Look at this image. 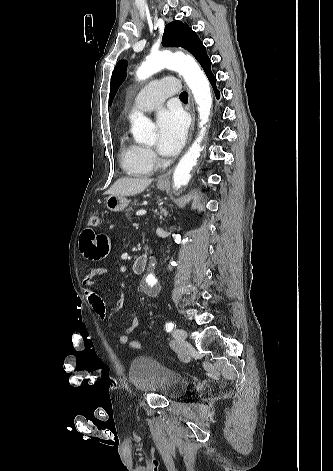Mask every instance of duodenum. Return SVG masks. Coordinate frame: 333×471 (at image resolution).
I'll return each mask as SVG.
<instances>
[{
	"instance_id": "1",
	"label": "duodenum",
	"mask_w": 333,
	"mask_h": 471,
	"mask_svg": "<svg viewBox=\"0 0 333 471\" xmlns=\"http://www.w3.org/2000/svg\"><path fill=\"white\" fill-rule=\"evenodd\" d=\"M147 263L148 256L147 254H143L133 261L131 269L136 274L142 273L146 269Z\"/></svg>"
}]
</instances>
